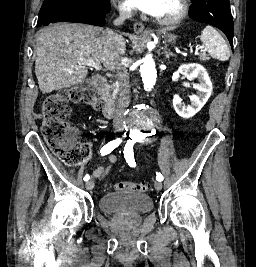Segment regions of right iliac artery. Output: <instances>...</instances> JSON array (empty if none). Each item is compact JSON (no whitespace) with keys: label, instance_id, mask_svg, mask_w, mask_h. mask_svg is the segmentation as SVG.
Segmentation results:
<instances>
[{"label":"right iliac artery","instance_id":"obj_1","mask_svg":"<svg viewBox=\"0 0 256 267\" xmlns=\"http://www.w3.org/2000/svg\"><path fill=\"white\" fill-rule=\"evenodd\" d=\"M122 142L120 138H117L116 140L110 141L108 144H106L101 150L100 153L102 156L109 154L113 149L119 146V144ZM90 179V176L87 174L84 177V181H88Z\"/></svg>","mask_w":256,"mask_h":267}]
</instances>
